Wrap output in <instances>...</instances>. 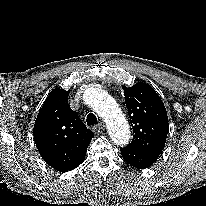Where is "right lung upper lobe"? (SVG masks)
<instances>
[{
  "label": "right lung upper lobe",
  "mask_w": 206,
  "mask_h": 206,
  "mask_svg": "<svg viewBox=\"0 0 206 206\" xmlns=\"http://www.w3.org/2000/svg\"><path fill=\"white\" fill-rule=\"evenodd\" d=\"M69 92L52 90L38 113L33 129L41 157L60 172L70 171L84 161L89 142L94 137L70 108Z\"/></svg>",
  "instance_id": "1"
}]
</instances>
